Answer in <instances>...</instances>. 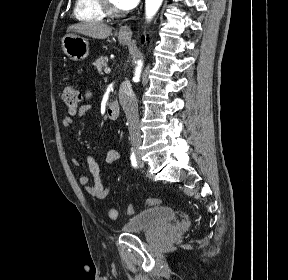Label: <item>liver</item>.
<instances>
[{
    "instance_id": "1",
    "label": "liver",
    "mask_w": 288,
    "mask_h": 280,
    "mask_svg": "<svg viewBox=\"0 0 288 280\" xmlns=\"http://www.w3.org/2000/svg\"><path fill=\"white\" fill-rule=\"evenodd\" d=\"M68 31H74L95 39L107 38L112 28L103 23H77L69 26Z\"/></svg>"
}]
</instances>
